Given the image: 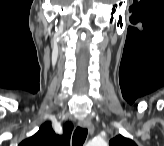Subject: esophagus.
<instances>
[{"label":"esophagus","mask_w":164,"mask_h":146,"mask_svg":"<svg viewBox=\"0 0 164 146\" xmlns=\"http://www.w3.org/2000/svg\"><path fill=\"white\" fill-rule=\"evenodd\" d=\"M79 125L82 127V128H86V129H88V131H89V133L90 134H93L94 133V126H93V124L91 123V121H89V120H81L80 122H79Z\"/></svg>","instance_id":"34e87169"}]
</instances>
